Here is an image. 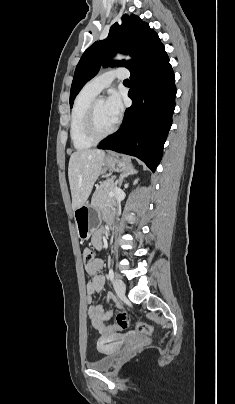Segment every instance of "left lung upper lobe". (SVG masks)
I'll list each match as a JSON object with an SVG mask.
<instances>
[{"label": "left lung upper lobe", "instance_id": "obj_1", "mask_svg": "<svg viewBox=\"0 0 235 404\" xmlns=\"http://www.w3.org/2000/svg\"><path fill=\"white\" fill-rule=\"evenodd\" d=\"M162 46L158 35L147 23L136 15H123L121 25H112L105 40L96 41L83 53L72 81L70 107L80 89L97 74L101 65L125 67L132 72ZM117 52L129 53L134 59L112 62L111 57Z\"/></svg>", "mask_w": 235, "mask_h": 404}]
</instances>
